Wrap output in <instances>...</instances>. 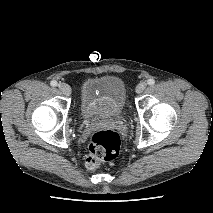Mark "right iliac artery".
<instances>
[{
    "label": "right iliac artery",
    "mask_w": 213,
    "mask_h": 213,
    "mask_svg": "<svg viewBox=\"0 0 213 213\" xmlns=\"http://www.w3.org/2000/svg\"><path fill=\"white\" fill-rule=\"evenodd\" d=\"M50 85L53 86V87H56V86L58 85V83H57V81L52 80V81L50 82Z\"/></svg>",
    "instance_id": "obj_1"
}]
</instances>
